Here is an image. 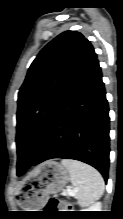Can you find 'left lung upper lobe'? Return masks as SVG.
<instances>
[{
    "instance_id": "1",
    "label": "left lung upper lobe",
    "mask_w": 123,
    "mask_h": 219,
    "mask_svg": "<svg viewBox=\"0 0 123 219\" xmlns=\"http://www.w3.org/2000/svg\"><path fill=\"white\" fill-rule=\"evenodd\" d=\"M96 59L91 43L77 31L61 33L34 59L18 93V176L29 168L59 107Z\"/></svg>"
}]
</instances>
